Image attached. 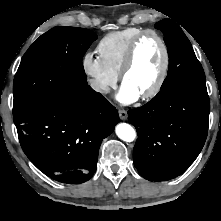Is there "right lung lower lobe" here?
I'll return each mask as SVG.
<instances>
[{"instance_id":"98d812e1","label":"right lung lower lobe","mask_w":221,"mask_h":221,"mask_svg":"<svg viewBox=\"0 0 221 221\" xmlns=\"http://www.w3.org/2000/svg\"><path fill=\"white\" fill-rule=\"evenodd\" d=\"M118 122L116 108L88 84L14 117L29 160L50 178L70 184L92 177L101 142Z\"/></svg>"}]
</instances>
